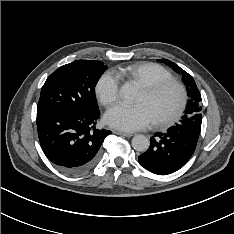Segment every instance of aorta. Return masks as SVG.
<instances>
[{
  "label": "aorta",
  "mask_w": 234,
  "mask_h": 234,
  "mask_svg": "<svg viewBox=\"0 0 234 234\" xmlns=\"http://www.w3.org/2000/svg\"><path fill=\"white\" fill-rule=\"evenodd\" d=\"M120 95L127 101H133L137 95L136 88L129 83L124 84L120 89ZM150 146L149 139L142 134H138L132 139V147L139 152H145Z\"/></svg>",
  "instance_id": "1"
}]
</instances>
